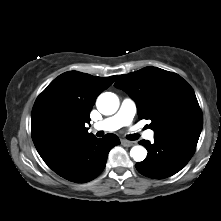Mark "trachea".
Wrapping results in <instances>:
<instances>
[{
  "label": "trachea",
  "mask_w": 221,
  "mask_h": 221,
  "mask_svg": "<svg viewBox=\"0 0 221 221\" xmlns=\"http://www.w3.org/2000/svg\"><path fill=\"white\" fill-rule=\"evenodd\" d=\"M97 135L99 136V132L97 133ZM127 138L129 140H137L139 138V135L138 134H130L127 136Z\"/></svg>",
  "instance_id": "3493384b"
}]
</instances>
